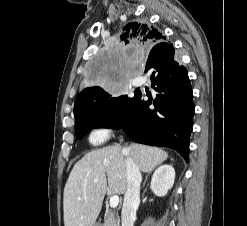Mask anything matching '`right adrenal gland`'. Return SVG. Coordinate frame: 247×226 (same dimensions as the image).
<instances>
[{"mask_svg":"<svg viewBox=\"0 0 247 226\" xmlns=\"http://www.w3.org/2000/svg\"><path fill=\"white\" fill-rule=\"evenodd\" d=\"M149 174H150V173H148V175H149ZM148 175L146 176V179H145V181H144V183H143V187L145 186V183H146V181H147Z\"/></svg>","mask_w":247,"mask_h":226,"instance_id":"2a0ac1e0","label":"right adrenal gland"}]
</instances>
